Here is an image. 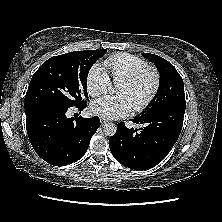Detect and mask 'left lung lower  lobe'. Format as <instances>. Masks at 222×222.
<instances>
[{"label":"left lung lower lobe","mask_w":222,"mask_h":222,"mask_svg":"<svg viewBox=\"0 0 222 222\" xmlns=\"http://www.w3.org/2000/svg\"><path fill=\"white\" fill-rule=\"evenodd\" d=\"M185 108L171 105L131 119L145 126L127 128L124 123L109 139L114 158L126 167L147 170L159 164L176 143L183 125Z\"/></svg>","instance_id":"0a47b994"}]
</instances>
